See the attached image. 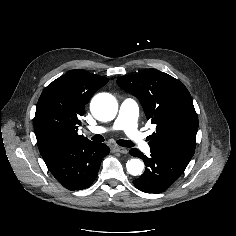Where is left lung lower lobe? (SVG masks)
<instances>
[{
    "label": "left lung lower lobe",
    "mask_w": 236,
    "mask_h": 236,
    "mask_svg": "<svg viewBox=\"0 0 236 236\" xmlns=\"http://www.w3.org/2000/svg\"><path fill=\"white\" fill-rule=\"evenodd\" d=\"M129 153L141 158L146 164L144 174L133 181L136 188L146 193L163 192L180 177L188 165L155 148H151L150 157L137 149H131Z\"/></svg>",
    "instance_id": "left-lung-lower-lobe-1"
}]
</instances>
